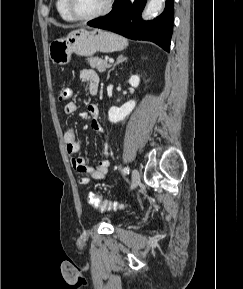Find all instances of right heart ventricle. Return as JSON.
Here are the masks:
<instances>
[{
    "instance_id": "1",
    "label": "right heart ventricle",
    "mask_w": 243,
    "mask_h": 289,
    "mask_svg": "<svg viewBox=\"0 0 243 289\" xmlns=\"http://www.w3.org/2000/svg\"><path fill=\"white\" fill-rule=\"evenodd\" d=\"M56 8H57V11H58L60 17H61L64 21H67V22H73V21H75V20L70 16V14L68 13L67 5H66V0H57V1H56Z\"/></svg>"
}]
</instances>
